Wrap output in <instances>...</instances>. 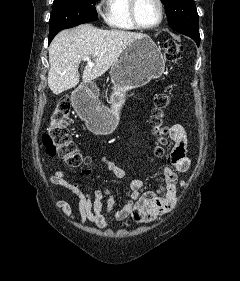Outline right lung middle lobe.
Returning <instances> with one entry per match:
<instances>
[{
    "mask_svg": "<svg viewBox=\"0 0 240 281\" xmlns=\"http://www.w3.org/2000/svg\"><path fill=\"white\" fill-rule=\"evenodd\" d=\"M94 0H54L48 42L62 29L97 20Z\"/></svg>",
    "mask_w": 240,
    "mask_h": 281,
    "instance_id": "1",
    "label": "right lung middle lobe"
}]
</instances>
